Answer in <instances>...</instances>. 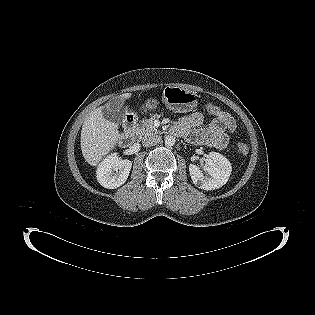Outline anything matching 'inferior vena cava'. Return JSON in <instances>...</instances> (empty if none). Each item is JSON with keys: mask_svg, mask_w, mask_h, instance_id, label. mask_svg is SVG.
Returning a JSON list of instances; mask_svg holds the SVG:
<instances>
[{"mask_svg": "<svg viewBox=\"0 0 315 315\" xmlns=\"http://www.w3.org/2000/svg\"><path fill=\"white\" fill-rule=\"evenodd\" d=\"M161 141V137L156 134H150L143 138L142 144L145 147L156 145Z\"/></svg>", "mask_w": 315, "mask_h": 315, "instance_id": "obj_1", "label": "inferior vena cava"}]
</instances>
